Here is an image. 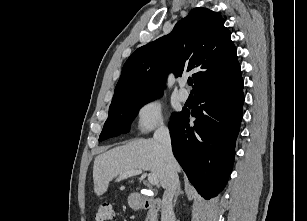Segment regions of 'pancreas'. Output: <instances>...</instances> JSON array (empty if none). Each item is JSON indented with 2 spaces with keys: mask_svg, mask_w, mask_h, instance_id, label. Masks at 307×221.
I'll return each mask as SVG.
<instances>
[{
  "mask_svg": "<svg viewBox=\"0 0 307 221\" xmlns=\"http://www.w3.org/2000/svg\"><path fill=\"white\" fill-rule=\"evenodd\" d=\"M149 220H150V217H149V216H147L146 221H149Z\"/></svg>",
  "mask_w": 307,
  "mask_h": 221,
  "instance_id": "pancreas-1",
  "label": "pancreas"
}]
</instances>
